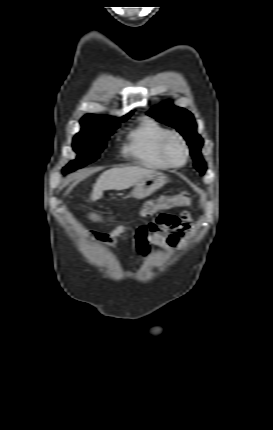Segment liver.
Segmentation results:
<instances>
[{
	"mask_svg": "<svg viewBox=\"0 0 273 430\" xmlns=\"http://www.w3.org/2000/svg\"><path fill=\"white\" fill-rule=\"evenodd\" d=\"M153 170L141 167L112 168L103 172L97 179L91 194V200L100 199L105 190H124L135 185Z\"/></svg>",
	"mask_w": 273,
	"mask_h": 430,
	"instance_id": "6515ba94",
	"label": "liver"
}]
</instances>
